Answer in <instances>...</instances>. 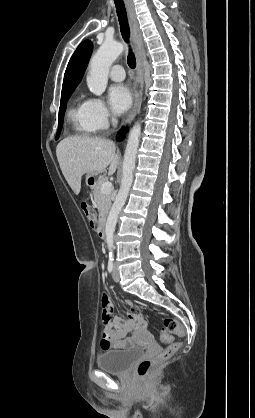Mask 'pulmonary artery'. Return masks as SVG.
Returning a JSON list of instances; mask_svg holds the SVG:
<instances>
[{
	"label": "pulmonary artery",
	"mask_w": 255,
	"mask_h": 418,
	"mask_svg": "<svg viewBox=\"0 0 255 418\" xmlns=\"http://www.w3.org/2000/svg\"><path fill=\"white\" fill-rule=\"evenodd\" d=\"M109 76L114 81H122L125 78V71L121 65H114L110 72Z\"/></svg>",
	"instance_id": "1"
}]
</instances>
